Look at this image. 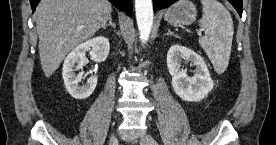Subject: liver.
<instances>
[{
  "label": "liver",
  "instance_id": "liver-1",
  "mask_svg": "<svg viewBox=\"0 0 276 145\" xmlns=\"http://www.w3.org/2000/svg\"><path fill=\"white\" fill-rule=\"evenodd\" d=\"M111 12L107 0H41L34 16L44 75L50 77L76 45L106 24Z\"/></svg>",
  "mask_w": 276,
  "mask_h": 145
}]
</instances>
